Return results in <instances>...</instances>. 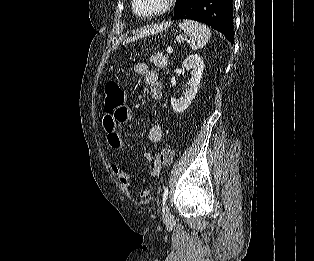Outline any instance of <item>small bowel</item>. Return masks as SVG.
I'll return each mask as SVG.
<instances>
[{
  "label": "small bowel",
  "mask_w": 314,
  "mask_h": 261,
  "mask_svg": "<svg viewBox=\"0 0 314 261\" xmlns=\"http://www.w3.org/2000/svg\"><path fill=\"white\" fill-rule=\"evenodd\" d=\"M136 74L143 76L150 88V94L153 100H160L163 96V87L157 72L151 70L144 62H138L134 65ZM132 120V111L129 107L122 105L117 109H108L107 114L103 117V127L107 133V140L110 147L114 150H123L126 148V142L123 135L119 132V126L126 124ZM148 137L153 143H160L163 138V128L156 123L151 126ZM148 161H153V167L150 170V176L156 177L162 168V165L151 155L146 154ZM111 171L119 180L121 186L127 190L134 189V182L131 175L124 172L119 165L112 164ZM150 193V189L145 186L140 191L141 197H146Z\"/></svg>",
  "instance_id": "obj_1"
}]
</instances>
